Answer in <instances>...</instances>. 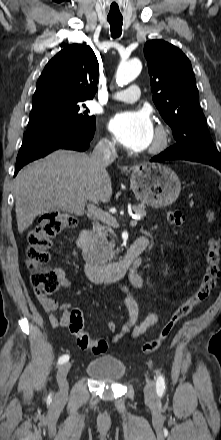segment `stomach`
Returning <instances> with one entry per match:
<instances>
[{
  "label": "stomach",
  "mask_w": 221,
  "mask_h": 440,
  "mask_svg": "<svg viewBox=\"0 0 221 440\" xmlns=\"http://www.w3.org/2000/svg\"><path fill=\"white\" fill-rule=\"evenodd\" d=\"M130 186L137 199L155 208L171 205L181 191L177 174L160 163L135 166L130 177Z\"/></svg>",
  "instance_id": "stomach-1"
}]
</instances>
